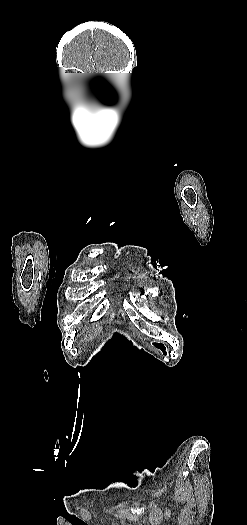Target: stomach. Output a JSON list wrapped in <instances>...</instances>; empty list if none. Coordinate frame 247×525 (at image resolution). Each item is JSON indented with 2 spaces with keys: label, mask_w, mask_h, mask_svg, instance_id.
<instances>
[{
  "label": "stomach",
  "mask_w": 247,
  "mask_h": 525,
  "mask_svg": "<svg viewBox=\"0 0 247 525\" xmlns=\"http://www.w3.org/2000/svg\"><path fill=\"white\" fill-rule=\"evenodd\" d=\"M153 346L157 348L160 352H162L164 355H166L167 350L162 343H153Z\"/></svg>",
  "instance_id": "1"
}]
</instances>
